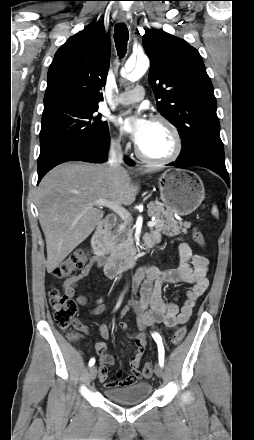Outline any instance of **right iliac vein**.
I'll list each match as a JSON object with an SVG mask.
<instances>
[{"label": "right iliac vein", "instance_id": "63e3f726", "mask_svg": "<svg viewBox=\"0 0 254 440\" xmlns=\"http://www.w3.org/2000/svg\"><path fill=\"white\" fill-rule=\"evenodd\" d=\"M97 376V367L96 366H92L89 369V378L91 381L95 380Z\"/></svg>", "mask_w": 254, "mask_h": 440}]
</instances>
